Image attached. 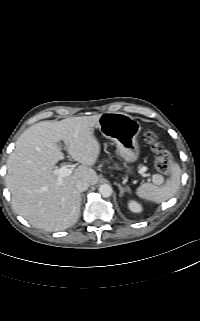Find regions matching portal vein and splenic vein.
Listing matches in <instances>:
<instances>
[{"label":"portal vein and splenic vein","mask_w":200,"mask_h":321,"mask_svg":"<svg viewBox=\"0 0 200 321\" xmlns=\"http://www.w3.org/2000/svg\"><path fill=\"white\" fill-rule=\"evenodd\" d=\"M72 168H70V165L65 164L62 167H60L59 169H55L53 171V174L57 175L58 177V182L61 184L62 179L66 176H69L72 174ZM147 170L146 166H142V168L140 169V172L143 173Z\"/></svg>","instance_id":"obj_1"}]
</instances>
